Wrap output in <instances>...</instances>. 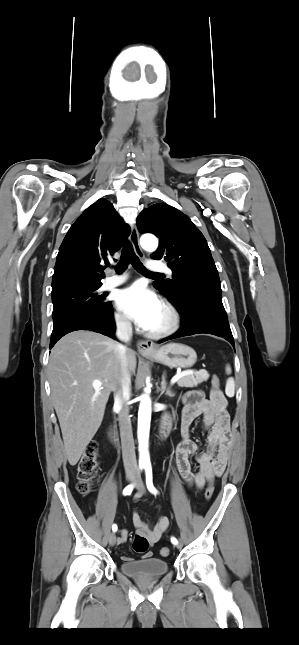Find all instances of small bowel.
Instances as JSON below:
<instances>
[{
  "mask_svg": "<svg viewBox=\"0 0 299 645\" xmlns=\"http://www.w3.org/2000/svg\"><path fill=\"white\" fill-rule=\"evenodd\" d=\"M181 414L182 441L175 452V462L178 472L185 483L195 490H201L206 484L211 483L225 471L232 444L230 433V416L227 411V399L221 391H212L208 398L202 391L193 390L183 397ZM202 417L203 428L207 431L205 448L191 437L192 424L195 419ZM197 464L196 471L192 469L191 459ZM140 494H136L135 501H139ZM137 535L145 537L149 545H154L169 527L167 516H160L153 527L142 519L138 512L132 516ZM128 539V531L121 530L119 544ZM147 551L143 558L151 557ZM122 560H131L122 556Z\"/></svg>",
  "mask_w": 299,
  "mask_h": 645,
  "instance_id": "obj_1",
  "label": "small bowel"
}]
</instances>
